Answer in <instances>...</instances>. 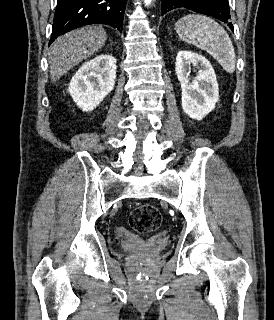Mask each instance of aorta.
Here are the masks:
<instances>
[{
	"instance_id": "obj_1",
	"label": "aorta",
	"mask_w": 274,
	"mask_h": 320,
	"mask_svg": "<svg viewBox=\"0 0 274 320\" xmlns=\"http://www.w3.org/2000/svg\"><path fill=\"white\" fill-rule=\"evenodd\" d=\"M151 1H152V0H144L145 4H146L147 6L151 4Z\"/></svg>"
}]
</instances>
